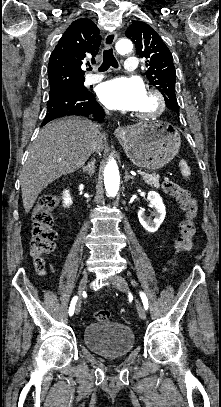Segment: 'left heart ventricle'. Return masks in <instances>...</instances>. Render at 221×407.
Here are the masks:
<instances>
[{"label":"left heart ventricle","instance_id":"b2bd125f","mask_svg":"<svg viewBox=\"0 0 221 407\" xmlns=\"http://www.w3.org/2000/svg\"><path fill=\"white\" fill-rule=\"evenodd\" d=\"M153 106H154V103H153L152 99L146 94L141 107L138 109V112L149 111L153 108Z\"/></svg>","mask_w":221,"mask_h":407}]
</instances>
